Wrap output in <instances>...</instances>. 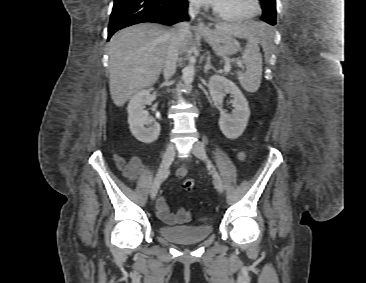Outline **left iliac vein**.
Listing matches in <instances>:
<instances>
[{
  "label": "left iliac vein",
  "mask_w": 366,
  "mask_h": 283,
  "mask_svg": "<svg viewBox=\"0 0 366 283\" xmlns=\"http://www.w3.org/2000/svg\"><path fill=\"white\" fill-rule=\"evenodd\" d=\"M192 153L199 158L202 161H206L210 164L211 167V172L214 178V183L216 185V188L218 189V191L220 193H222L224 191V185H223V181L221 179L220 174L218 173V171L216 170V168L212 165V163L209 161L208 156L206 154V151L204 149V146L201 142H196L193 145V149H192Z\"/></svg>",
  "instance_id": "left-iliac-vein-1"
}]
</instances>
